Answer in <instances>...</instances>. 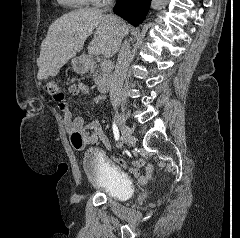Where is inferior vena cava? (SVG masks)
Wrapping results in <instances>:
<instances>
[{
	"label": "inferior vena cava",
	"mask_w": 240,
	"mask_h": 238,
	"mask_svg": "<svg viewBox=\"0 0 240 238\" xmlns=\"http://www.w3.org/2000/svg\"><path fill=\"white\" fill-rule=\"evenodd\" d=\"M108 10H110L109 7L104 8V11ZM109 17L115 23L120 25L122 24V22L114 15H109ZM130 57H131L130 44L127 41H124L121 50L118 54V59L110 87V101L113 107H117L120 104L122 86L124 83V79L126 77L128 67L131 62Z\"/></svg>",
	"instance_id": "602c4592"
}]
</instances>
